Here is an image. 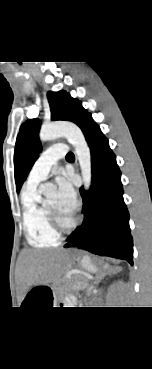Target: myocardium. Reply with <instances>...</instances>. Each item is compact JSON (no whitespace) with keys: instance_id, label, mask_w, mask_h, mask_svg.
<instances>
[{"instance_id":"f54148a6","label":"myocardium","mask_w":152,"mask_h":369,"mask_svg":"<svg viewBox=\"0 0 152 369\" xmlns=\"http://www.w3.org/2000/svg\"><path fill=\"white\" fill-rule=\"evenodd\" d=\"M44 207L47 211L50 225L57 234H67L75 228L77 223V220L75 218H72L69 224H63L56 212L51 209L46 202H44Z\"/></svg>"}]
</instances>
